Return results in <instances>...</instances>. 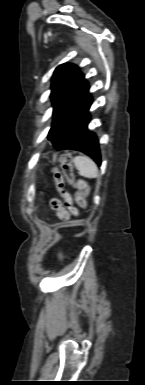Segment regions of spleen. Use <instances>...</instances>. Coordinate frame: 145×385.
Listing matches in <instances>:
<instances>
[{"instance_id": "1", "label": "spleen", "mask_w": 145, "mask_h": 385, "mask_svg": "<svg viewBox=\"0 0 145 385\" xmlns=\"http://www.w3.org/2000/svg\"><path fill=\"white\" fill-rule=\"evenodd\" d=\"M73 161L81 176L86 178H96L98 176V168L88 156H76Z\"/></svg>"}]
</instances>
